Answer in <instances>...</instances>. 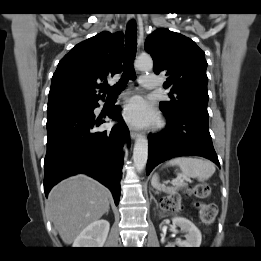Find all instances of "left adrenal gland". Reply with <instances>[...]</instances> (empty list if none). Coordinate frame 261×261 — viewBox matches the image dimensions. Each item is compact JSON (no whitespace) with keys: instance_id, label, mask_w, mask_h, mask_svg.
<instances>
[{"instance_id":"obj_1","label":"left adrenal gland","mask_w":261,"mask_h":261,"mask_svg":"<svg viewBox=\"0 0 261 261\" xmlns=\"http://www.w3.org/2000/svg\"><path fill=\"white\" fill-rule=\"evenodd\" d=\"M150 199L152 200H154V202L156 203V206L158 207V202H157V200L154 198V196L152 195V193L150 192Z\"/></svg>"}]
</instances>
